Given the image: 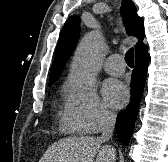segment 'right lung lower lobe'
Returning a JSON list of instances; mask_svg holds the SVG:
<instances>
[{"mask_svg": "<svg viewBox=\"0 0 168 162\" xmlns=\"http://www.w3.org/2000/svg\"><path fill=\"white\" fill-rule=\"evenodd\" d=\"M149 62L148 52L136 55V64L132 72L131 101L128 107L121 111L116 121V133L118 140L128 145L134 130L139 103L144 90L146 71Z\"/></svg>", "mask_w": 168, "mask_h": 162, "instance_id": "1", "label": "right lung lower lobe"}]
</instances>
